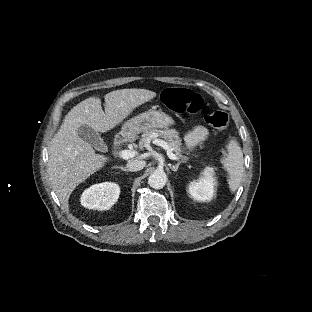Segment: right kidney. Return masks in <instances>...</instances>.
Listing matches in <instances>:
<instances>
[{"mask_svg":"<svg viewBox=\"0 0 312 312\" xmlns=\"http://www.w3.org/2000/svg\"><path fill=\"white\" fill-rule=\"evenodd\" d=\"M120 187L113 182L94 184L84 190L81 195V205L88 209L108 210L118 200Z\"/></svg>","mask_w":312,"mask_h":312,"instance_id":"right-kidney-1","label":"right kidney"}]
</instances>
